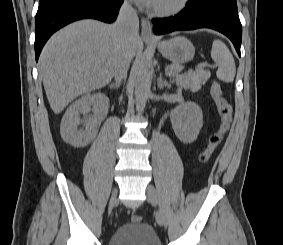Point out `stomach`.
I'll return each mask as SVG.
<instances>
[{"label": "stomach", "instance_id": "stomach-1", "mask_svg": "<svg viewBox=\"0 0 283 245\" xmlns=\"http://www.w3.org/2000/svg\"><path fill=\"white\" fill-rule=\"evenodd\" d=\"M158 50L174 64H183L193 59L194 45L185 37L177 36L157 44Z\"/></svg>", "mask_w": 283, "mask_h": 245}]
</instances>
